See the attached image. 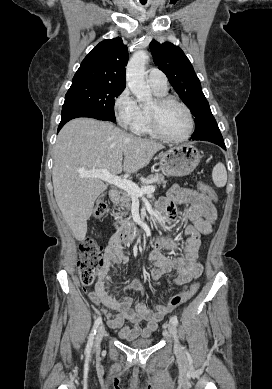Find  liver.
I'll list each match as a JSON object with an SVG mask.
<instances>
[{
	"instance_id": "obj_1",
	"label": "liver",
	"mask_w": 272,
	"mask_h": 389,
	"mask_svg": "<svg viewBox=\"0 0 272 389\" xmlns=\"http://www.w3.org/2000/svg\"><path fill=\"white\" fill-rule=\"evenodd\" d=\"M163 148L112 123L90 118L71 120L61 129L53 154L54 195L77 240H84L94 202L107 188L101 179L83 177L80 172L136 173Z\"/></svg>"
}]
</instances>
